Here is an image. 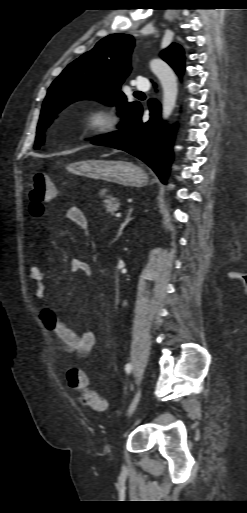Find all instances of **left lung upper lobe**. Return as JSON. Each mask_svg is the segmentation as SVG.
I'll list each match as a JSON object with an SVG mask.
<instances>
[{"instance_id": "obj_1", "label": "left lung upper lobe", "mask_w": 247, "mask_h": 513, "mask_svg": "<svg viewBox=\"0 0 247 513\" xmlns=\"http://www.w3.org/2000/svg\"><path fill=\"white\" fill-rule=\"evenodd\" d=\"M134 39L126 34H112L101 39L95 47L85 53L58 76L44 100L37 127L38 149L44 142L45 128L67 105L80 99H96L108 105H117L125 118L139 104L127 102L120 91L121 84L129 75ZM162 58L175 70L184 63V52L173 43L162 53ZM124 118V119H125Z\"/></svg>"}]
</instances>
